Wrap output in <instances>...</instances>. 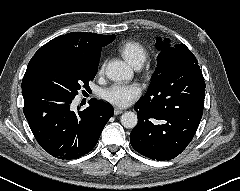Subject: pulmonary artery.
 Masks as SVG:
<instances>
[{"label":"pulmonary artery","mask_w":240,"mask_h":191,"mask_svg":"<svg viewBox=\"0 0 240 191\" xmlns=\"http://www.w3.org/2000/svg\"><path fill=\"white\" fill-rule=\"evenodd\" d=\"M141 67V65L140 64H138V65H135V68L136 69H139Z\"/></svg>","instance_id":"e3ab8cb5"}]
</instances>
